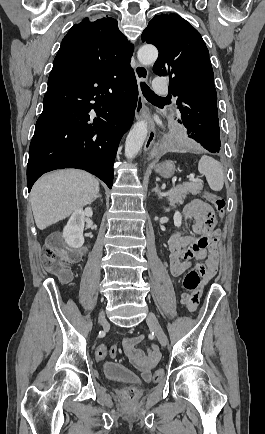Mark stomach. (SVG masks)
<instances>
[{
  "label": "stomach",
  "instance_id": "0dacf381",
  "mask_svg": "<svg viewBox=\"0 0 265 434\" xmlns=\"http://www.w3.org/2000/svg\"><path fill=\"white\" fill-rule=\"evenodd\" d=\"M155 172L160 174L162 178H171L175 172V166L173 162H162V164H158V166H156Z\"/></svg>",
  "mask_w": 265,
  "mask_h": 434
}]
</instances>
